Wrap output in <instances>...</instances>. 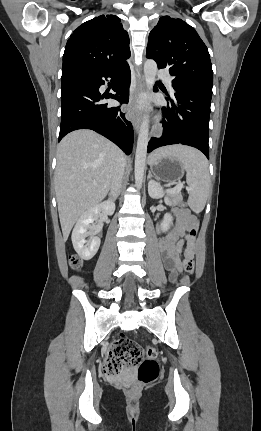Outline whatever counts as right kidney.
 I'll list each match as a JSON object with an SVG mask.
<instances>
[{
	"instance_id": "1",
	"label": "right kidney",
	"mask_w": 261,
	"mask_h": 431,
	"mask_svg": "<svg viewBox=\"0 0 261 431\" xmlns=\"http://www.w3.org/2000/svg\"><path fill=\"white\" fill-rule=\"evenodd\" d=\"M114 211L115 204L112 200H108L89 208L80 216L72 232V243L82 259L93 258L100 246V237L93 231L92 223L101 214L112 215ZM87 236H90L89 241L85 239Z\"/></svg>"
}]
</instances>
